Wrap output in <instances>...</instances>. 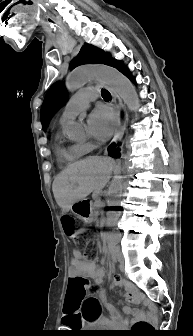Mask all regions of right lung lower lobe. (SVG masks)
<instances>
[{"instance_id":"obj_1","label":"right lung lower lobe","mask_w":193,"mask_h":336,"mask_svg":"<svg viewBox=\"0 0 193 336\" xmlns=\"http://www.w3.org/2000/svg\"><path fill=\"white\" fill-rule=\"evenodd\" d=\"M115 146H116L115 144H112V145L109 147V149H108V151H109V155H110L111 157H113V158H115V157H119V156H120L118 150L115 149Z\"/></svg>"}]
</instances>
